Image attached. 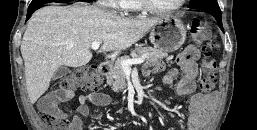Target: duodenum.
Segmentation results:
<instances>
[{"mask_svg":"<svg viewBox=\"0 0 257 130\" xmlns=\"http://www.w3.org/2000/svg\"><path fill=\"white\" fill-rule=\"evenodd\" d=\"M111 64L109 61H104L99 65V71L101 75L107 76L110 73Z\"/></svg>","mask_w":257,"mask_h":130,"instance_id":"1","label":"duodenum"}]
</instances>
